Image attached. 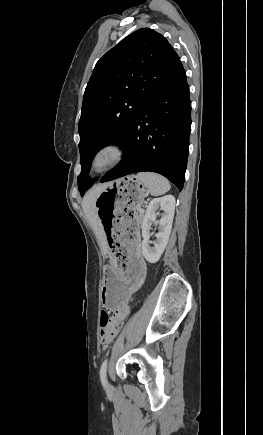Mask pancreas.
Segmentation results:
<instances>
[{"label": "pancreas", "mask_w": 263, "mask_h": 435, "mask_svg": "<svg viewBox=\"0 0 263 435\" xmlns=\"http://www.w3.org/2000/svg\"><path fill=\"white\" fill-rule=\"evenodd\" d=\"M138 212H139V214L137 215V222L138 223H141L142 222V220H143V216H144V210L143 211H140V209H138Z\"/></svg>", "instance_id": "obj_1"}]
</instances>
